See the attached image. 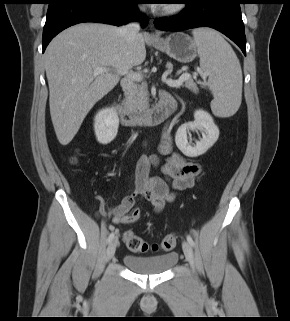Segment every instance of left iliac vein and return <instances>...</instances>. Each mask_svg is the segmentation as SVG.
<instances>
[{
    "mask_svg": "<svg viewBox=\"0 0 290 321\" xmlns=\"http://www.w3.org/2000/svg\"><path fill=\"white\" fill-rule=\"evenodd\" d=\"M182 248H183L186 259L188 260V262L190 263V265L194 269V255H193V250H192L191 245L189 244L188 241H183Z\"/></svg>",
    "mask_w": 290,
    "mask_h": 321,
    "instance_id": "4c4485c4",
    "label": "left iliac vein"
}]
</instances>
